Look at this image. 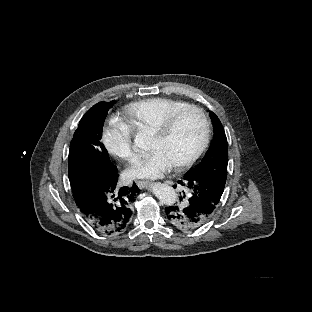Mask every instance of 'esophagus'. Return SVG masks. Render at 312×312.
Wrapping results in <instances>:
<instances>
[{"instance_id":"esophagus-1","label":"esophagus","mask_w":312,"mask_h":312,"mask_svg":"<svg viewBox=\"0 0 312 312\" xmlns=\"http://www.w3.org/2000/svg\"><path fill=\"white\" fill-rule=\"evenodd\" d=\"M136 184L139 188L143 189L145 186L149 185L150 182L148 180H138Z\"/></svg>"}]
</instances>
